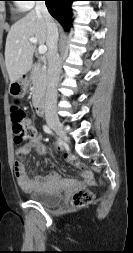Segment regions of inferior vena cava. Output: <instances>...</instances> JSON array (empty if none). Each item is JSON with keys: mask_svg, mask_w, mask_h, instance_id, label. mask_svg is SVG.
I'll list each match as a JSON object with an SVG mask.
<instances>
[{"mask_svg": "<svg viewBox=\"0 0 133 253\" xmlns=\"http://www.w3.org/2000/svg\"><path fill=\"white\" fill-rule=\"evenodd\" d=\"M35 11L45 19L47 27V89L45 98V117L46 119H57V85L60 77V60L58 55V28L53 18L49 14L45 1H36Z\"/></svg>", "mask_w": 133, "mask_h": 253, "instance_id": "1", "label": "inferior vena cava"}]
</instances>
